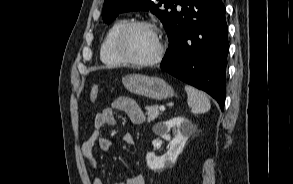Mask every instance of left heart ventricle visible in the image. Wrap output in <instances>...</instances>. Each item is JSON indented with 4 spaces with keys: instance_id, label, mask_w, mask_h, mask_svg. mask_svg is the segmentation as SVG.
I'll list each match as a JSON object with an SVG mask.
<instances>
[{
    "instance_id": "1",
    "label": "left heart ventricle",
    "mask_w": 293,
    "mask_h": 184,
    "mask_svg": "<svg viewBox=\"0 0 293 184\" xmlns=\"http://www.w3.org/2000/svg\"><path fill=\"white\" fill-rule=\"evenodd\" d=\"M122 48L131 58L148 60L155 56L158 50L156 35L146 27H136L124 37Z\"/></svg>"
}]
</instances>
